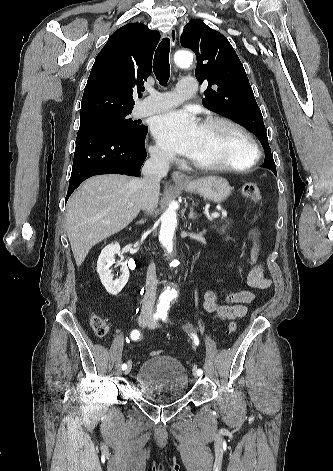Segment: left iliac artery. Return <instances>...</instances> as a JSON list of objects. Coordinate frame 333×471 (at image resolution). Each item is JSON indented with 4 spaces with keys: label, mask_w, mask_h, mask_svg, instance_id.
I'll return each mask as SVG.
<instances>
[{
    "label": "left iliac artery",
    "mask_w": 333,
    "mask_h": 471,
    "mask_svg": "<svg viewBox=\"0 0 333 471\" xmlns=\"http://www.w3.org/2000/svg\"><path fill=\"white\" fill-rule=\"evenodd\" d=\"M160 318H161L162 321H164V322L167 321V311H162V312L160 313ZM191 337H192L193 340H194V344H195L196 346H198V345H199V339H198L197 335H196L195 333H192V334H191ZM195 369H196V368L194 367V370H195ZM196 372H197V374H199V375H202V373H203L202 369H197Z\"/></svg>",
    "instance_id": "obj_1"
}]
</instances>
